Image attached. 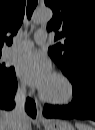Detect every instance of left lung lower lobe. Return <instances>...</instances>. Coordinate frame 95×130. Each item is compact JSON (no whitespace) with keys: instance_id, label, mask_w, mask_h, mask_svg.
<instances>
[{"instance_id":"1","label":"left lung lower lobe","mask_w":95,"mask_h":130,"mask_svg":"<svg viewBox=\"0 0 95 130\" xmlns=\"http://www.w3.org/2000/svg\"><path fill=\"white\" fill-rule=\"evenodd\" d=\"M73 101L67 106L45 105L43 115L47 118L95 120V70H83L74 80Z\"/></svg>"}]
</instances>
